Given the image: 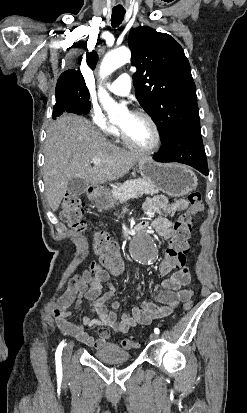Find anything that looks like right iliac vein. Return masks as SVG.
I'll use <instances>...</instances> for the list:
<instances>
[{
	"mask_svg": "<svg viewBox=\"0 0 247 413\" xmlns=\"http://www.w3.org/2000/svg\"><path fill=\"white\" fill-rule=\"evenodd\" d=\"M73 342H70L69 344H67L65 351H64V356H63V360H64V367L68 368L70 365V357L72 354V350H73Z\"/></svg>",
	"mask_w": 247,
	"mask_h": 413,
	"instance_id": "obj_1",
	"label": "right iliac vein"
}]
</instances>
